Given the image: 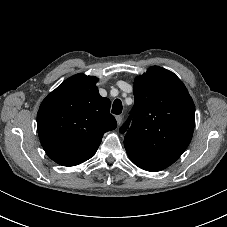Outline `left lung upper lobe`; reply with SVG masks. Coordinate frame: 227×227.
Returning <instances> with one entry per match:
<instances>
[{
  "label": "left lung upper lobe",
  "instance_id": "left-lung-upper-lobe-1",
  "mask_svg": "<svg viewBox=\"0 0 227 227\" xmlns=\"http://www.w3.org/2000/svg\"><path fill=\"white\" fill-rule=\"evenodd\" d=\"M133 91L134 107L120 128L126 133L125 149L138 167L161 171L182 155L192 139L193 100L182 81L159 66L137 77Z\"/></svg>",
  "mask_w": 227,
  "mask_h": 227
}]
</instances>
